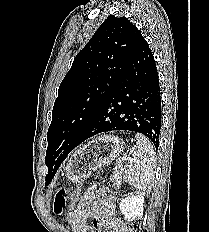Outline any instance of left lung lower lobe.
I'll return each mask as SVG.
<instances>
[{
  "label": "left lung lower lobe",
  "mask_w": 209,
  "mask_h": 232,
  "mask_svg": "<svg viewBox=\"0 0 209 232\" xmlns=\"http://www.w3.org/2000/svg\"><path fill=\"white\" fill-rule=\"evenodd\" d=\"M161 116L159 76L142 36L117 85L79 134L74 148L101 132L128 130L147 136L158 149Z\"/></svg>",
  "instance_id": "1"
}]
</instances>
